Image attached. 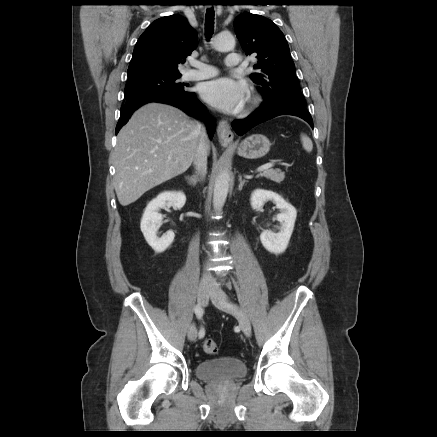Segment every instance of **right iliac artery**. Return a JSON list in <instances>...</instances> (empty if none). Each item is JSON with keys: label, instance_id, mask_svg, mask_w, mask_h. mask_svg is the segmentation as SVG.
<instances>
[{"label": "right iliac artery", "instance_id": "82829eb1", "mask_svg": "<svg viewBox=\"0 0 437 437\" xmlns=\"http://www.w3.org/2000/svg\"><path fill=\"white\" fill-rule=\"evenodd\" d=\"M194 310H195V314H196L197 318H198V319H201L202 316H203V313H204L202 307L198 304V305H196V307H195ZM198 335H199V338H203V337H204V335H205V330H204V328H201V329H200Z\"/></svg>", "mask_w": 437, "mask_h": 437}]
</instances>
